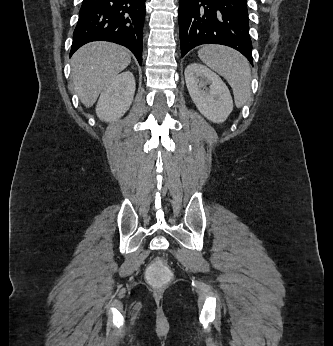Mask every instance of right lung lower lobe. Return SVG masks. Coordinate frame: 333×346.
Listing matches in <instances>:
<instances>
[{"label":"right lung lower lobe","instance_id":"right-lung-lower-lobe-1","mask_svg":"<svg viewBox=\"0 0 333 346\" xmlns=\"http://www.w3.org/2000/svg\"><path fill=\"white\" fill-rule=\"evenodd\" d=\"M145 0H83L73 33L72 54L92 41H110L130 49L142 64Z\"/></svg>","mask_w":333,"mask_h":346}]
</instances>
